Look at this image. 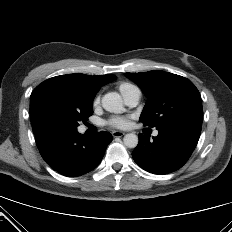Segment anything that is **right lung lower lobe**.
Masks as SVG:
<instances>
[{"mask_svg": "<svg viewBox=\"0 0 232 232\" xmlns=\"http://www.w3.org/2000/svg\"><path fill=\"white\" fill-rule=\"evenodd\" d=\"M35 140L48 165L62 175L76 177L98 166L112 135L99 132L87 138L77 129H50L35 133Z\"/></svg>", "mask_w": 232, "mask_h": 232, "instance_id": "right-lung-lower-lobe-1", "label": "right lung lower lobe"}]
</instances>
